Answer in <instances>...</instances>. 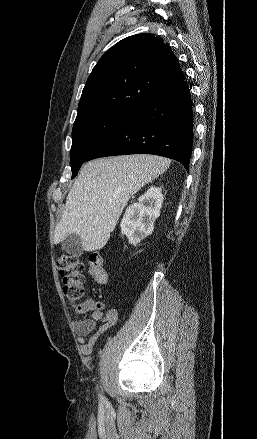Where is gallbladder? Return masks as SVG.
<instances>
[{"label":"gallbladder","mask_w":257,"mask_h":439,"mask_svg":"<svg viewBox=\"0 0 257 439\" xmlns=\"http://www.w3.org/2000/svg\"><path fill=\"white\" fill-rule=\"evenodd\" d=\"M62 250L73 256L79 257L83 254L81 239L76 234H69L61 243Z\"/></svg>","instance_id":"1"}]
</instances>
